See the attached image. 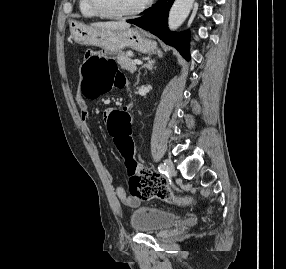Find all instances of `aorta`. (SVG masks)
Returning <instances> with one entry per match:
<instances>
[{
	"label": "aorta",
	"mask_w": 286,
	"mask_h": 269,
	"mask_svg": "<svg viewBox=\"0 0 286 269\" xmlns=\"http://www.w3.org/2000/svg\"><path fill=\"white\" fill-rule=\"evenodd\" d=\"M194 0H175L168 18V27L170 30L178 29L188 17Z\"/></svg>",
	"instance_id": "762f6f07"
}]
</instances>
